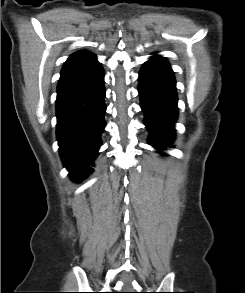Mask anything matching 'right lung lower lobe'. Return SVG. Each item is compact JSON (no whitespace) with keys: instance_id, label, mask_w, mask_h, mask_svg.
<instances>
[{"instance_id":"1","label":"right lung lower lobe","mask_w":245,"mask_h":293,"mask_svg":"<svg viewBox=\"0 0 245 293\" xmlns=\"http://www.w3.org/2000/svg\"><path fill=\"white\" fill-rule=\"evenodd\" d=\"M104 71L101 66L57 89L56 135L59 152L72 179L80 181L93 168L105 127Z\"/></svg>"}]
</instances>
